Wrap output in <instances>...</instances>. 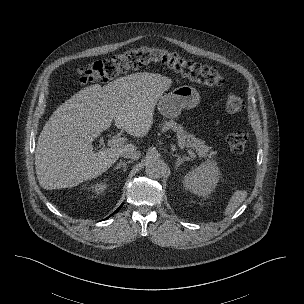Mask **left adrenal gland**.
<instances>
[{
	"mask_svg": "<svg viewBox=\"0 0 304 304\" xmlns=\"http://www.w3.org/2000/svg\"><path fill=\"white\" fill-rule=\"evenodd\" d=\"M173 156L177 158V161H176V163H175V164H176V166H175L176 169H178V167H179L180 165H182L185 161L190 160L189 157H186V156L181 157V156L178 155V154H173Z\"/></svg>",
	"mask_w": 304,
	"mask_h": 304,
	"instance_id": "obj_1",
	"label": "left adrenal gland"
}]
</instances>
